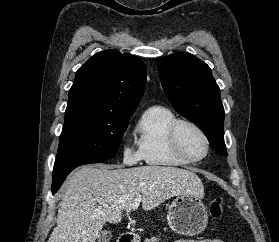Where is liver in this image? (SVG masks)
I'll return each instance as SVG.
<instances>
[{"mask_svg":"<svg viewBox=\"0 0 279 242\" xmlns=\"http://www.w3.org/2000/svg\"><path fill=\"white\" fill-rule=\"evenodd\" d=\"M178 195L204 196L194 172L162 166H83L61 187L57 226L47 242H95L106 222L119 223L135 198L141 197L143 210L149 211Z\"/></svg>","mask_w":279,"mask_h":242,"instance_id":"1","label":"liver"}]
</instances>
